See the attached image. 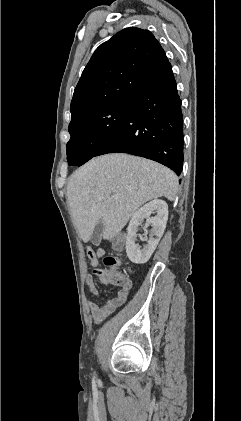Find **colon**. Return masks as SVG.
Masks as SVG:
<instances>
[{
  "mask_svg": "<svg viewBox=\"0 0 241 421\" xmlns=\"http://www.w3.org/2000/svg\"><path fill=\"white\" fill-rule=\"evenodd\" d=\"M123 245L124 237L122 235H119L112 241V246L116 252L120 251ZM120 266L121 261L116 254L108 255L104 257L103 267L97 270V275L107 282L124 285L127 283L128 278L119 270Z\"/></svg>",
  "mask_w": 241,
  "mask_h": 421,
  "instance_id": "5ec220e1",
  "label": "colon"
}]
</instances>
